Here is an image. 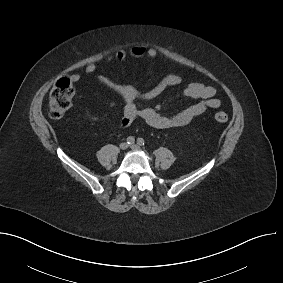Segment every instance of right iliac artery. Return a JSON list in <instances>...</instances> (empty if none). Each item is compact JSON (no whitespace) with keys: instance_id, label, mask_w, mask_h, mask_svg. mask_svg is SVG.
Segmentation results:
<instances>
[{"instance_id":"right-iliac-artery-1","label":"right iliac artery","mask_w":283,"mask_h":283,"mask_svg":"<svg viewBox=\"0 0 283 283\" xmlns=\"http://www.w3.org/2000/svg\"><path fill=\"white\" fill-rule=\"evenodd\" d=\"M134 141H135V139H134V137H132V136H129V137L127 138V143H128L129 145L133 144Z\"/></svg>"}]
</instances>
